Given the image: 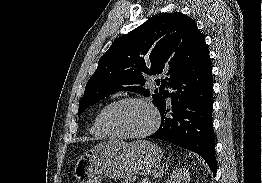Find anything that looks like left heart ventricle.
I'll use <instances>...</instances> for the list:
<instances>
[{
    "label": "left heart ventricle",
    "instance_id": "left-heart-ventricle-1",
    "mask_svg": "<svg viewBox=\"0 0 262 183\" xmlns=\"http://www.w3.org/2000/svg\"><path fill=\"white\" fill-rule=\"evenodd\" d=\"M107 122L120 134H138L151 127L153 114L143 104L126 103L113 108L107 115Z\"/></svg>",
    "mask_w": 262,
    "mask_h": 183
}]
</instances>
